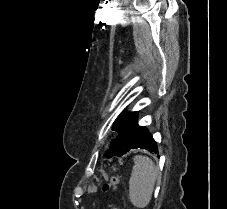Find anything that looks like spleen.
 Listing matches in <instances>:
<instances>
[{
    "label": "spleen",
    "instance_id": "obj_1",
    "mask_svg": "<svg viewBox=\"0 0 227 209\" xmlns=\"http://www.w3.org/2000/svg\"><path fill=\"white\" fill-rule=\"evenodd\" d=\"M133 161L134 167L129 179V197L134 207L144 209L151 201L157 169L149 157L136 155Z\"/></svg>",
    "mask_w": 227,
    "mask_h": 209
}]
</instances>
